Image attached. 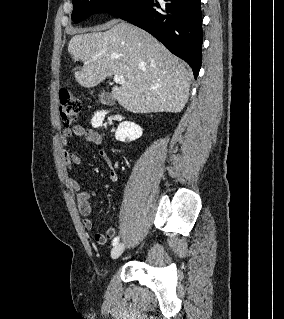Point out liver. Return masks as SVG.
<instances>
[{
	"mask_svg": "<svg viewBox=\"0 0 284 319\" xmlns=\"http://www.w3.org/2000/svg\"><path fill=\"white\" fill-rule=\"evenodd\" d=\"M68 51L84 63L75 72L83 87L123 76L126 83L113 87L112 96L130 112L177 113L188 101L191 71L152 35L132 24L119 22L105 32L94 29L74 35Z\"/></svg>",
	"mask_w": 284,
	"mask_h": 319,
	"instance_id": "1",
	"label": "liver"
}]
</instances>
